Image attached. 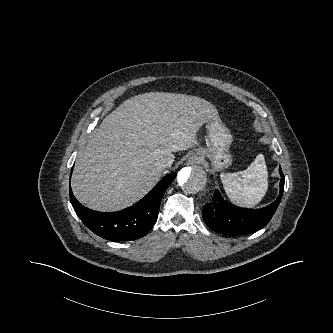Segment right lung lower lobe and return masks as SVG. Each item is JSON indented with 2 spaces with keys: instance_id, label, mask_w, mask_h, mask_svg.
I'll use <instances>...</instances> for the list:
<instances>
[{
  "instance_id": "obj_1",
  "label": "right lung lower lobe",
  "mask_w": 333,
  "mask_h": 333,
  "mask_svg": "<svg viewBox=\"0 0 333 333\" xmlns=\"http://www.w3.org/2000/svg\"><path fill=\"white\" fill-rule=\"evenodd\" d=\"M176 173L165 176L143 199L131 207L112 213H102L84 207L73 196L71 204L82 222L95 234L110 241H129L145 236L154 226L164 192Z\"/></svg>"
}]
</instances>
